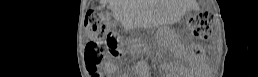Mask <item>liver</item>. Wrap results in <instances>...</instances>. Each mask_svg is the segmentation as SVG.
Returning <instances> with one entry per match:
<instances>
[{
    "label": "liver",
    "instance_id": "liver-1",
    "mask_svg": "<svg viewBox=\"0 0 258 77\" xmlns=\"http://www.w3.org/2000/svg\"><path fill=\"white\" fill-rule=\"evenodd\" d=\"M109 3L126 28L157 25L164 21L158 0H109Z\"/></svg>",
    "mask_w": 258,
    "mask_h": 77
}]
</instances>
